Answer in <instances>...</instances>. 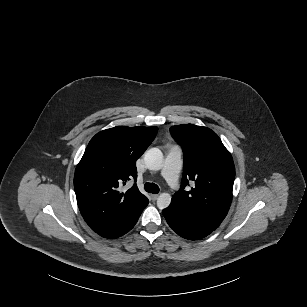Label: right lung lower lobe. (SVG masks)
Returning a JSON list of instances; mask_svg holds the SVG:
<instances>
[{"instance_id":"98d812e1","label":"right lung lower lobe","mask_w":307,"mask_h":307,"mask_svg":"<svg viewBox=\"0 0 307 307\" xmlns=\"http://www.w3.org/2000/svg\"><path fill=\"white\" fill-rule=\"evenodd\" d=\"M148 203L149 201L147 200L140 207L132 211L120 223L116 224L115 226L109 229L101 231L98 234L105 238H117V237L124 235L125 233H127L129 230H131L134 227L143 209L148 205Z\"/></svg>"}]
</instances>
